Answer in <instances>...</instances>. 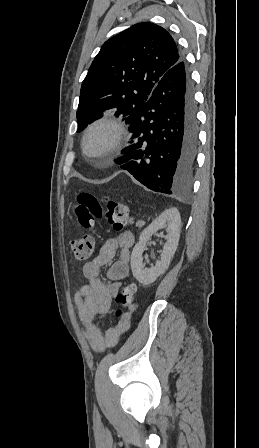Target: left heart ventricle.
<instances>
[{
    "label": "left heart ventricle",
    "mask_w": 259,
    "mask_h": 448,
    "mask_svg": "<svg viewBox=\"0 0 259 448\" xmlns=\"http://www.w3.org/2000/svg\"><path fill=\"white\" fill-rule=\"evenodd\" d=\"M107 139V132L102 129L95 130L88 140V153L92 157V160H100V148L103 146Z\"/></svg>",
    "instance_id": "b2bd125f"
}]
</instances>
